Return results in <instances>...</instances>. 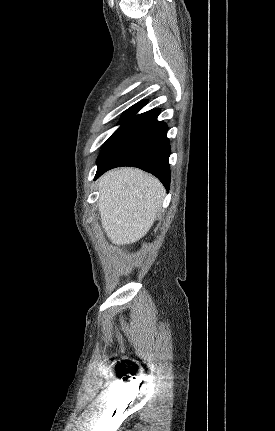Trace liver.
<instances>
[{"instance_id": "obj_1", "label": "liver", "mask_w": 275, "mask_h": 431, "mask_svg": "<svg viewBox=\"0 0 275 431\" xmlns=\"http://www.w3.org/2000/svg\"><path fill=\"white\" fill-rule=\"evenodd\" d=\"M98 189L102 227L117 245L134 243L147 234L165 196L157 178L129 167L105 173Z\"/></svg>"}]
</instances>
